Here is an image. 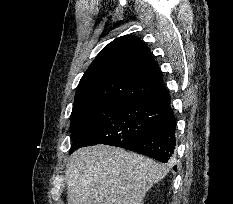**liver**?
Returning <instances> with one entry per match:
<instances>
[{"label": "liver", "instance_id": "6515ba94", "mask_svg": "<svg viewBox=\"0 0 233 204\" xmlns=\"http://www.w3.org/2000/svg\"><path fill=\"white\" fill-rule=\"evenodd\" d=\"M168 172L165 165L103 144L83 147L69 158L68 204H143L149 189Z\"/></svg>", "mask_w": 233, "mask_h": 204}]
</instances>
